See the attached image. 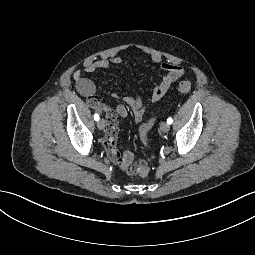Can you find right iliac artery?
<instances>
[{
  "mask_svg": "<svg viewBox=\"0 0 255 255\" xmlns=\"http://www.w3.org/2000/svg\"><path fill=\"white\" fill-rule=\"evenodd\" d=\"M94 119H95L96 121H98V120H99V115H98V114H95V115H94Z\"/></svg>",
  "mask_w": 255,
  "mask_h": 255,
  "instance_id": "1",
  "label": "right iliac artery"
}]
</instances>
